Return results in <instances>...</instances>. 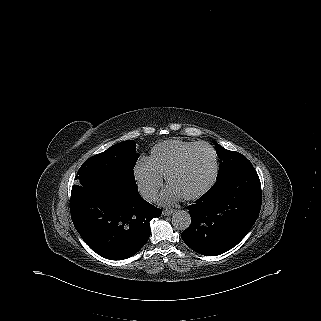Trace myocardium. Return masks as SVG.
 <instances>
[{
    "label": "myocardium",
    "instance_id": "myocardium-1",
    "mask_svg": "<svg viewBox=\"0 0 321 321\" xmlns=\"http://www.w3.org/2000/svg\"><path fill=\"white\" fill-rule=\"evenodd\" d=\"M207 148L212 152L213 155V161H214V169H213V174L209 182L200 190L193 194L189 195H184L182 196L183 199L185 200H195L206 194L216 183L217 177H218V172H219V163H218V156L215 151V149L208 143H198L196 144L193 148H191L166 174V183L168 187H170L171 180L175 174H177L182 168H184L190 159L192 153L197 150L198 148Z\"/></svg>",
    "mask_w": 321,
    "mask_h": 321
}]
</instances>
